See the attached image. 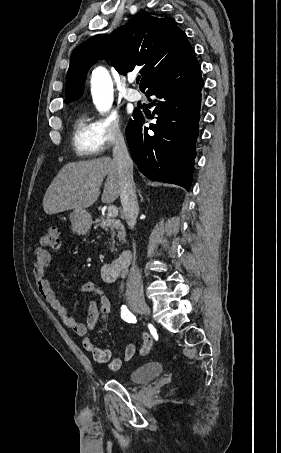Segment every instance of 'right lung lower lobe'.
Returning a JSON list of instances; mask_svg holds the SVG:
<instances>
[{
  "mask_svg": "<svg viewBox=\"0 0 281 453\" xmlns=\"http://www.w3.org/2000/svg\"><path fill=\"white\" fill-rule=\"evenodd\" d=\"M202 87L200 65L192 51L143 90L146 96L155 97L151 105L157 120L143 127L145 115L134 112L126 137L133 161L148 178L189 190Z\"/></svg>",
  "mask_w": 281,
  "mask_h": 453,
  "instance_id": "obj_1",
  "label": "right lung lower lobe"
}]
</instances>
